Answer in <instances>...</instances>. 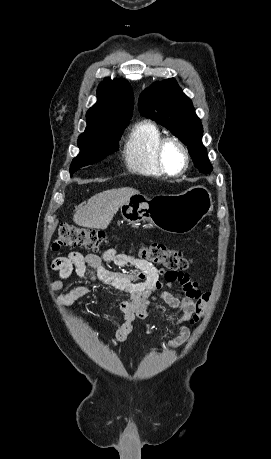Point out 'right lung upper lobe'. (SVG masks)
<instances>
[{
  "label": "right lung upper lobe",
  "mask_w": 271,
  "mask_h": 459,
  "mask_svg": "<svg viewBox=\"0 0 271 459\" xmlns=\"http://www.w3.org/2000/svg\"><path fill=\"white\" fill-rule=\"evenodd\" d=\"M97 102L87 114V122L96 120H130L133 91L126 80L106 78L97 89Z\"/></svg>",
  "instance_id": "cb5924a9"
}]
</instances>
